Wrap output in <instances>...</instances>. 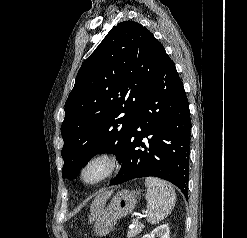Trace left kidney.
Returning a JSON list of instances; mask_svg holds the SVG:
<instances>
[{"label": "left kidney", "mask_w": 247, "mask_h": 238, "mask_svg": "<svg viewBox=\"0 0 247 238\" xmlns=\"http://www.w3.org/2000/svg\"><path fill=\"white\" fill-rule=\"evenodd\" d=\"M170 230L167 224L160 225L156 229H154L150 234L144 235L142 238H169Z\"/></svg>", "instance_id": "5707ae66"}]
</instances>
